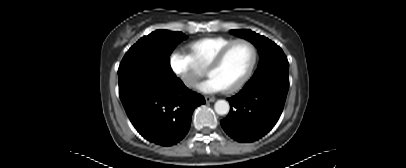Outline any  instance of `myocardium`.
Segmentation results:
<instances>
[{
	"mask_svg": "<svg viewBox=\"0 0 406 168\" xmlns=\"http://www.w3.org/2000/svg\"><path fill=\"white\" fill-rule=\"evenodd\" d=\"M238 43H246L251 47V49H252V60H251V62L249 64L246 72L243 74V76L235 84L223 89L224 92H226V93H233V92L238 91L239 89H241L246 84V82L251 77V75H252V73L254 71V68L256 66L257 60H258V49H257L256 45L251 40L246 39V38L234 39L229 44H227L222 49H220L216 53V55L212 58V60L209 62V64L206 66V73L208 75H210V72L221 64V62L225 58L228 51L234 45H236Z\"/></svg>",
	"mask_w": 406,
	"mask_h": 168,
	"instance_id": "obj_1",
	"label": "myocardium"
}]
</instances>
